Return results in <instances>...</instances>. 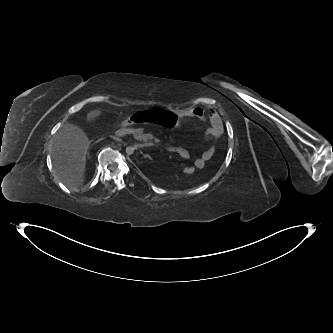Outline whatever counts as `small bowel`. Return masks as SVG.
I'll return each instance as SVG.
<instances>
[{
  "instance_id": "1",
  "label": "small bowel",
  "mask_w": 333,
  "mask_h": 333,
  "mask_svg": "<svg viewBox=\"0 0 333 333\" xmlns=\"http://www.w3.org/2000/svg\"><path fill=\"white\" fill-rule=\"evenodd\" d=\"M178 117V122L180 119L184 118H200L207 120L210 123V127L205 132V139L210 140H219L222 136V125L220 117L213 108H202L195 107L183 110L181 113H175ZM171 151L177 154L182 159H189V152L183 147H173ZM216 151V146H212L206 151H204L200 156L194 160V165L196 168H203L205 163L210 160Z\"/></svg>"
}]
</instances>
